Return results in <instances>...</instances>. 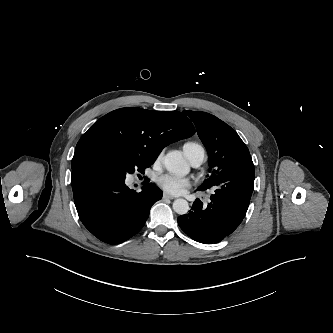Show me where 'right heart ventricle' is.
Here are the masks:
<instances>
[{
  "mask_svg": "<svg viewBox=\"0 0 333 333\" xmlns=\"http://www.w3.org/2000/svg\"><path fill=\"white\" fill-rule=\"evenodd\" d=\"M183 151L190 161L198 152L204 151V149L196 142H186L183 145Z\"/></svg>",
  "mask_w": 333,
  "mask_h": 333,
  "instance_id": "1",
  "label": "right heart ventricle"
}]
</instances>
